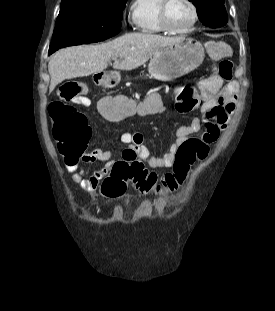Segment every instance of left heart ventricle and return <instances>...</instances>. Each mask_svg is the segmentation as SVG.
<instances>
[{
  "label": "left heart ventricle",
  "instance_id": "left-heart-ventricle-1",
  "mask_svg": "<svg viewBox=\"0 0 275 311\" xmlns=\"http://www.w3.org/2000/svg\"><path fill=\"white\" fill-rule=\"evenodd\" d=\"M168 19L172 27L181 29L192 20V10L186 0H172L168 8Z\"/></svg>",
  "mask_w": 275,
  "mask_h": 311
}]
</instances>
